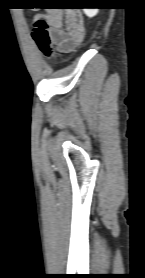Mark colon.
<instances>
[{"label":"colon","mask_w":145,"mask_h":278,"mask_svg":"<svg viewBox=\"0 0 145 278\" xmlns=\"http://www.w3.org/2000/svg\"><path fill=\"white\" fill-rule=\"evenodd\" d=\"M69 7L70 8H75V9L82 8V6L80 4H72V5H69ZM33 8L38 9V8H41V7H33ZM44 8L47 9V10H44V11H49L53 7L52 6H47V7H44ZM49 28H50L49 22L44 15L39 17L35 21V31L33 33V37H34L35 41L37 42V44L39 45L42 54L47 58L52 55Z\"/></svg>","instance_id":"obj_1"}]
</instances>
